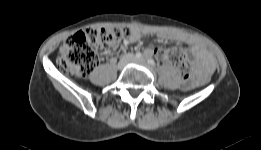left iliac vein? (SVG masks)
Segmentation results:
<instances>
[{
    "label": "left iliac vein",
    "instance_id": "left-iliac-vein-1",
    "mask_svg": "<svg viewBox=\"0 0 261 150\" xmlns=\"http://www.w3.org/2000/svg\"><path fill=\"white\" fill-rule=\"evenodd\" d=\"M134 61L139 62V63H144V62H145V59H144V58L135 59Z\"/></svg>",
    "mask_w": 261,
    "mask_h": 150
}]
</instances>
